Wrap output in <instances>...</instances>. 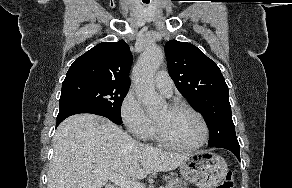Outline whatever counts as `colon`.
I'll return each instance as SVG.
<instances>
[{"mask_svg":"<svg viewBox=\"0 0 292 188\" xmlns=\"http://www.w3.org/2000/svg\"><path fill=\"white\" fill-rule=\"evenodd\" d=\"M234 182L230 172H228L225 178L216 186V188H233Z\"/></svg>","mask_w":292,"mask_h":188,"instance_id":"colon-1","label":"colon"}]
</instances>
